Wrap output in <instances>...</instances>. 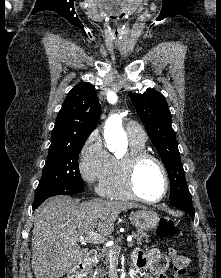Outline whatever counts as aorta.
Masks as SVG:
<instances>
[{"instance_id":"obj_1","label":"aorta","mask_w":221,"mask_h":278,"mask_svg":"<svg viewBox=\"0 0 221 278\" xmlns=\"http://www.w3.org/2000/svg\"><path fill=\"white\" fill-rule=\"evenodd\" d=\"M104 138L107 148L111 152H115L119 144H126L127 137L122 127V118L118 114L111 115L105 124Z\"/></svg>"}]
</instances>
